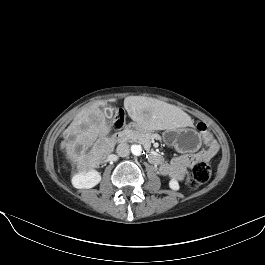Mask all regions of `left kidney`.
<instances>
[{"instance_id": "obj_1", "label": "left kidney", "mask_w": 265, "mask_h": 265, "mask_svg": "<svg viewBox=\"0 0 265 265\" xmlns=\"http://www.w3.org/2000/svg\"><path fill=\"white\" fill-rule=\"evenodd\" d=\"M169 187L172 189V190H175V191H177V190H179V183H178V181L177 180H174V179H172V180H170V182H169Z\"/></svg>"}]
</instances>
